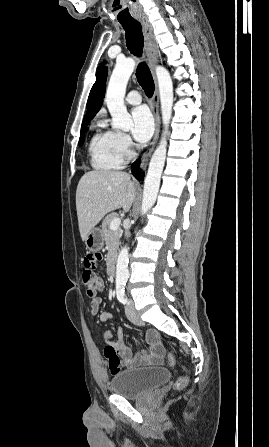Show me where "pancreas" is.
Segmentation results:
<instances>
[{
  "label": "pancreas",
  "instance_id": "obj_1",
  "mask_svg": "<svg viewBox=\"0 0 269 447\" xmlns=\"http://www.w3.org/2000/svg\"><path fill=\"white\" fill-rule=\"evenodd\" d=\"M117 216L118 214H109V216H106L104 222H102L105 243L106 247H108L106 257L107 269H110L111 263L115 261L117 257V249L120 245V231H118V229H110L111 220H114Z\"/></svg>",
  "mask_w": 269,
  "mask_h": 447
}]
</instances>
